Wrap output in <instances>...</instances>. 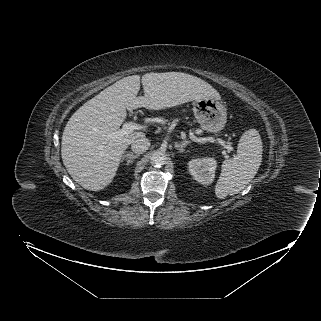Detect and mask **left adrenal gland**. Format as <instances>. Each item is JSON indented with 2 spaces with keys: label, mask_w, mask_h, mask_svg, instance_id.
Returning a JSON list of instances; mask_svg holds the SVG:
<instances>
[{
  "label": "left adrenal gland",
  "mask_w": 321,
  "mask_h": 321,
  "mask_svg": "<svg viewBox=\"0 0 321 321\" xmlns=\"http://www.w3.org/2000/svg\"><path fill=\"white\" fill-rule=\"evenodd\" d=\"M190 141H183L180 143H175V148L179 150L180 152H183L188 144H190Z\"/></svg>",
  "instance_id": "obj_1"
}]
</instances>
